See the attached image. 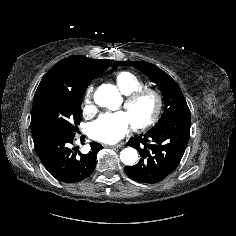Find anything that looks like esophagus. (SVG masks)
I'll list each match as a JSON object with an SVG mask.
<instances>
[{"label":"esophagus","mask_w":236,"mask_h":236,"mask_svg":"<svg viewBox=\"0 0 236 236\" xmlns=\"http://www.w3.org/2000/svg\"><path fill=\"white\" fill-rule=\"evenodd\" d=\"M123 144H116V145H110V146H107V147H110V148H121Z\"/></svg>","instance_id":"obj_1"}]
</instances>
